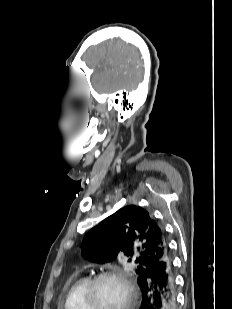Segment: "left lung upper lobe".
<instances>
[{
	"label": "left lung upper lobe",
	"mask_w": 232,
	"mask_h": 309,
	"mask_svg": "<svg viewBox=\"0 0 232 309\" xmlns=\"http://www.w3.org/2000/svg\"><path fill=\"white\" fill-rule=\"evenodd\" d=\"M82 255L91 262L103 264L127 256L136 265L140 285L149 268L169 248L163 227L142 207L130 205L93 227L83 239Z\"/></svg>",
	"instance_id": "1"
}]
</instances>
